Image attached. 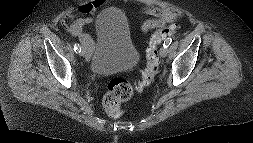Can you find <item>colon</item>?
<instances>
[{
    "mask_svg": "<svg viewBox=\"0 0 253 143\" xmlns=\"http://www.w3.org/2000/svg\"><path fill=\"white\" fill-rule=\"evenodd\" d=\"M149 26H153V23H149ZM176 32L177 27L170 26L159 29L152 35L146 50V68L143 70L138 83H132L125 78H114L109 82L103 100L105 111L109 116L121 117L123 114L122 103L129 100L136 90H143L153 82L159 67L158 48L167 37Z\"/></svg>",
    "mask_w": 253,
    "mask_h": 143,
    "instance_id": "obj_1",
    "label": "colon"
}]
</instances>
